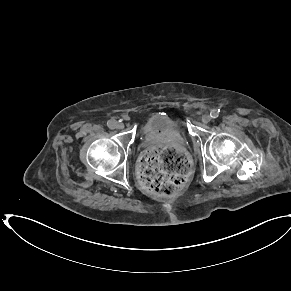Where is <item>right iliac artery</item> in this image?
I'll return each instance as SVG.
<instances>
[{
    "instance_id": "right-iliac-artery-1",
    "label": "right iliac artery",
    "mask_w": 291,
    "mask_h": 291,
    "mask_svg": "<svg viewBox=\"0 0 291 291\" xmlns=\"http://www.w3.org/2000/svg\"><path fill=\"white\" fill-rule=\"evenodd\" d=\"M107 126L110 128V129H115L117 127V121L115 120H109L107 122Z\"/></svg>"
}]
</instances>
